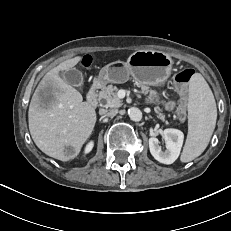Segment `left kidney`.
I'll list each match as a JSON object with an SVG mask.
<instances>
[{"label":"left kidney","mask_w":231,"mask_h":231,"mask_svg":"<svg viewBox=\"0 0 231 231\" xmlns=\"http://www.w3.org/2000/svg\"><path fill=\"white\" fill-rule=\"evenodd\" d=\"M166 150H162L159 140L155 137L149 138V149L151 155L160 163L172 164L178 158L184 140V134L178 129H165L162 134Z\"/></svg>","instance_id":"5707ae66"}]
</instances>
